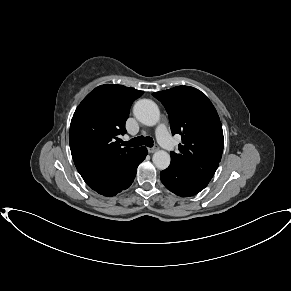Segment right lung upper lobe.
Returning a JSON list of instances; mask_svg holds the SVG:
<instances>
[{"mask_svg":"<svg viewBox=\"0 0 291 291\" xmlns=\"http://www.w3.org/2000/svg\"><path fill=\"white\" fill-rule=\"evenodd\" d=\"M143 93L122 85L105 84L85 97L70 124L74 163L113 164L135 151L136 148H121L118 135L126 133L131 104Z\"/></svg>","mask_w":291,"mask_h":291,"instance_id":"obj_1","label":"right lung upper lobe"}]
</instances>
